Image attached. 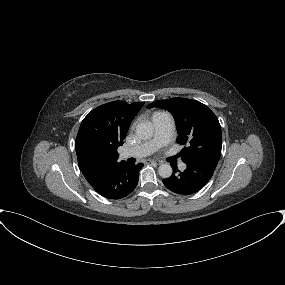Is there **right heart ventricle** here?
<instances>
[{"instance_id":"right-heart-ventricle-1","label":"right heart ventricle","mask_w":285,"mask_h":285,"mask_svg":"<svg viewBox=\"0 0 285 285\" xmlns=\"http://www.w3.org/2000/svg\"><path fill=\"white\" fill-rule=\"evenodd\" d=\"M164 112H155V113H153V115H152V121L156 118V117H158L159 115H161V114H163Z\"/></svg>"}]
</instances>
